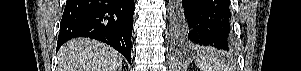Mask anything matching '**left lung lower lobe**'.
I'll list each match as a JSON object with an SVG mask.
<instances>
[{
	"instance_id": "0a47b994",
	"label": "left lung lower lobe",
	"mask_w": 301,
	"mask_h": 71,
	"mask_svg": "<svg viewBox=\"0 0 301 71\" xmlns=\"http://www.w3.org/2000/svg\"><path fill=\"white\" fill-rule=\"evenodd\" d=\"M169 8L176 43L191 48L233 49L229 0H171Z\"/></svg>"
}]
</instances>
